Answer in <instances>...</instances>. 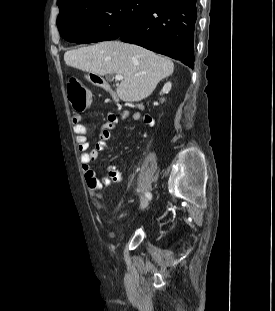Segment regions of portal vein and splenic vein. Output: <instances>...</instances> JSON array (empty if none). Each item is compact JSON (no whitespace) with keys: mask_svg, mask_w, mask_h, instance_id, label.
I'll return each instance as SVG.
<instances>
[{"mask_svg":"<svg viewBox=\"0 0 275 311\" xmlns=\"http://www.w3.org/2000/svg\"><path fill=\"white\" fill-rule=\"evenodd\" d=\"M123 78H124V77H123L122 75H118V74L115 75V80H116V81H122Z\"/></svg>","mask_w":275,"mask_h":311,"instance_id":"1","label":"portal vein and splenic vein"}]
</instances>
